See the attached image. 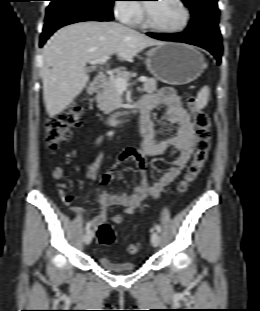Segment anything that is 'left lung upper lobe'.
<instances>
[{"label":"left lung upper lobe","mask_w":260,"mask_h":311,"mask_svg":"<svg viewBox=\"0 0 260 311\" xmlns=\"http://www.w3.org/2000/svg\"><path fill=\"white\" fill-rule=\"evenodd\" d=\"M190 9L192 20L186 30L220 35L218 28V0H182Z\"/></svg>","instance_id":"obj_1"}]
</instances>
